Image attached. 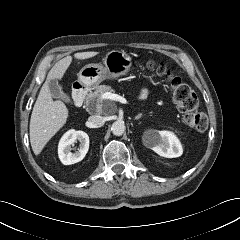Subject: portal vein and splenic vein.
I'll return each instance as SVG.
<instances>
[{"instance_id":"1","label":"portal vein and splenic vein","mask_w":240,"mask_h":240,"mask_svg":"<svg viewBox=\"0 0 240 240\" xmlns=\"http://www.w3.org/2000/svg\"><path fill=\"white\" fill-rule=\"evenodd\" d=\"M102 98L103 99H106V100H111V101H119L121 103H126V99L117 95V94H113L111 92H106L102 95Z\"/></svg>"}]
</instances>
